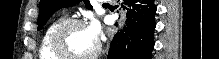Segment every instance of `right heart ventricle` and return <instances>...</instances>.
Wrapping results in <instances>:
<instances>
[{
  "label": "right heart ventricle",
  "instance_id": "e07e8e85",
  "mask_svg": "<svg viewBox=\"0 0 219 59\" xmlns=\"http://www.w3.org/2000/svg\"><path fill=\"white\" fill-rule=\"evenodd\" d=\"M64 20L63 17L56 18L45 28L39 42V59H61L52 51L51 39L56 27Z\"/></svg>",
  "mask_w": 219,
  "mask_h": 59
}]
</instances>
